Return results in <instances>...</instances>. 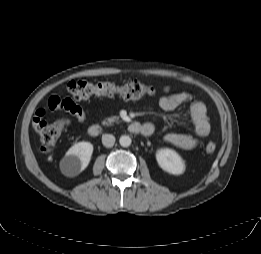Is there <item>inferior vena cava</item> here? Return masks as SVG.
<instances>
[{"label": "inferior vena cava", "instance_id": "602c4592", "mask_svg": "<svg viewBox=\"0 0 261 254\" xmlns=\"http://www.w3.org/2000/svg\"><path fill=\"white\" fill-rule=\"evenodd\" d=\"M115 143V137L111 134H105L102 136V144L105 147H112Z\"/></svg>", "mask_w": 261, "mask_h": 254}]
</instances>
